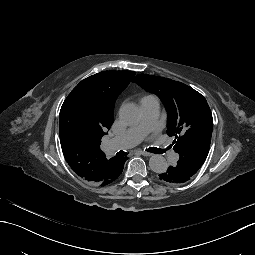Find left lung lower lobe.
<instances>
[{
	"label": "left lung lower lobe",
	"mask_w": 255,
	"mask_h": 255,
	"mask_svg": "<svg viewBox=\"0 0 255 255\" xmlns=\"http://www.w3.org/2000/svg\"><path fill=\"white\" fill-rule=\"evenodd\" d=\"M167 171H162L160 173V178L162 180H167L169 183L182 185L184 182L189 181L191 176H188L185 172H181L175 165H168L166 167Z\"/></svg>",
	"instance_id": "obj_1"
}]
</instances>
